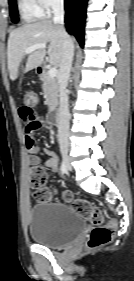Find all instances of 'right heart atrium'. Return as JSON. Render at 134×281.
Wrapping results in <instances>:
<instances>
[{"mask_svg": "<svg viewBox=\"0 0 134 281\" xmlns=\"http://www.w3.org/2000/svg\"><path fill=\"white\" fill-rule=\"evenodd\" d=\"M44 13L49 14L60 8L64 0H37Z\"/></svg>", "mask_w": 134, "mask_h": 281, "instance_id": "1", "label": "right heart atrium"}]
</instances>
